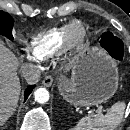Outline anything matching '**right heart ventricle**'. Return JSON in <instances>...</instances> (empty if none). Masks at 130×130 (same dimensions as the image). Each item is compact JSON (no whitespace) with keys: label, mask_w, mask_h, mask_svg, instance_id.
<instances>
[{"label":"right heart ventricle","mask_w":130,"mask_h":130,"mask_svg":"<svg viewBox=\"0 0 130 130\" xmlns=\"http://www.w3.org/2000/svg\"><path fill=\"white\" fill-rule=\"evenodd\" d=\"M70 23L32 36L28 43L32 57L37 60H45L62 50L65 47L66 32Z\"/></svg>","instance_id":"e07e8e85"}]
</instances>
